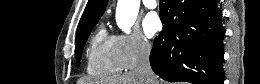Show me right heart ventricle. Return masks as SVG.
Listing matches in <instances>:
<instances>
[{
  "label": "right heart ventricle",
  "mask_w": 260,
  "mask_h": 84,
  "mask_svg": "<svg viewBox=\"0 0 260 84\" xmlns=\"http://www.w3.org/2000/svg\"><path fill=\"white\" fill-rule=\"evenodd\" d=\"M87 72L92 76H108L121 72L115 48V37L99 28L90 40L87 53Z\"/></svg>",
  "instance_id": "1"
}]
</instances>
